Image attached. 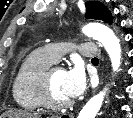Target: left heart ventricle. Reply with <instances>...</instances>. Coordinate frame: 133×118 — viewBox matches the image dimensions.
<instances>
[{"label":"left heart ventricle","instance_id":"b2bd125f","mask_svg":"<svg viewBox=\"0 0 133 118\" xmlns=\"http://www.w3.org/2000/svg\"><path fill=\"white\" fill-rule=\"evenodd\" d=\"M64 74L65 71L60 67L55 68L51 74V96L57 102H65L70 100L63 87Z\"/></svg>","mask_w":133,"mask_h":118}]
</instances>
